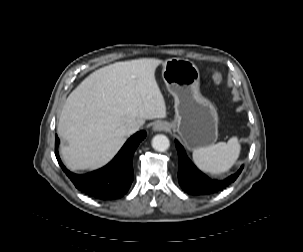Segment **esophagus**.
Here are the masks:
<instances>
[{"instance_id":"obj_1","label":"esophagus","mask_w":303,"mask_h":252,"mask_svg":"<svg viewBox=\"0 0 303 252\" xmlns=\"http://www.w3.org/2000/svg\"><path fill=\"white\" fill-rule=\"evenodd\" d=\"M169 129V124L165 122H156L153 126L155 132L166 131Z\"/></svg>"}]
</instances>
